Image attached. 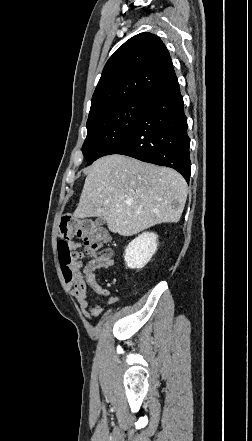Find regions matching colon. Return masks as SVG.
Segmentation results:
<instances>
[{
	"mask_svg": "<svg viewBox=\"0 0 252 441\" xmlns=\"http://www.w3.org/2000/svg\"><path fill=\"white\" fill-rule=\"evenodd\" d=\"M59 236L57 251L63 276L67 282H77L82 276L76 252L80 245L69 239L77 236L82 240L84 250L99 252L108 242L107 232L92 220L78 219L68 213L61 218Z\"/></svg>",
	"mask_w": 252,
	"mask_h": 441,
	"instance_id": "1",
	"label": "colon"
}]
</instances>
